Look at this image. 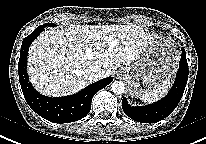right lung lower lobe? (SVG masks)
I'll return each instance as SVG.
<instances>
[{"label": "right lung lower lobe", "mask_w": 206, "mask_h": 144, "mask_svg": "<svg viewBox=\"0 0 206 144\" xmlns=\"http://www.w3.org/2000/svg\"><path fill=\"white\" fill-rule=\"evenodd\" d=\"M39 26L24 38L18 63L19 81L28 105L41 117L54 123H69L84 118L91 109L92 98L96 92L106 87L112 77L102 79L89 85L80 92L66 97H47L39 94L29 82L27 75V55L30 44L44 30Z\"/></svg>", "instance_id": "98d812e1"}]
</instances>
